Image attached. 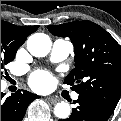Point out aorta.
I'll return each instance as SVG.
<instances>
[{
    "label": "aorta",
    "mask_w": 121,
    "mask_h": 121,
    "mask_svg": "<svg viewBox=\"0 0 121 121\" xmlns=\"http://www.w3.org/2000/svg\"><path fill=\"white\" fill-rule=\"evenodd\" d=\"M52 42L48 35L44 33H35L27 40V49L35 57H44L51 50ZM70 105L66 102L57 103L54 108V114L60 119H66L70 115Z\"/></svg>",
    "instance_id": "aorta-1"
}]
</instances>
